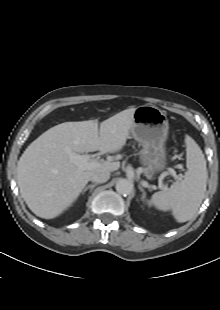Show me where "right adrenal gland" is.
<instances>
[{"mask_svg":"<svg viewBox=\"0 0 220 310\" xmlns=\"http://www.w3.org/2000/svg\"><path fill=\"white\" fill-rule=\"evenodd\" d=\"M97 186V183L91 184L86 186L83 190H82V194H84L88 189H90V192H92V190L94 189V187Z\"/></svg>","mask_w":220,"mask_h":310,"instance_id":"right-adrenal-gland-1","label":"right adrenal gland"}]
</instances>
